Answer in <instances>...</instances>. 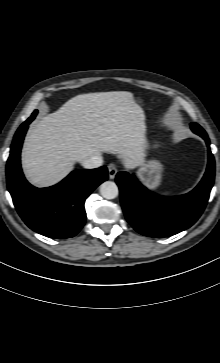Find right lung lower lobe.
Segmentation results:
<instances>
[{
    "label": "right lung lower lobe",
    "instance_id": "1",
    "mask_svg": "<svg viewBox=\"0 0 220 363\" xmlns=\"http://www.w3.org/2000/svg\"><path fill=\"white\" fill-rule=\"evenodd\" d=\"M31 116L17 130L7 161L8 190L23 221L35 232L50 238H71L85 223L84 202L108 178L105 166L71 172L57 185L36 188L21 170L20 150Z\"/></svg>",
    "mask_w": 220,
    "mask_h": 363
}]
</instances>
